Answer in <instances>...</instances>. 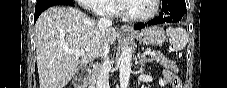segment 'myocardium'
<instances>
[{"label":"myocardium","mask_w":227,"mask_h":88,"mask_svg":"<svg viewBox=\"0 0 227 88\" xmlns=\"http://www.w3.org/2000/svg\"><path fill=\"white\" fill-rule=\"evenodd\" d=\"M127 1H131V0H118L117 1V10L118 13L123 16L126 19L132 20V21H136V22H146L150 19H152L158 12L159 9V0H152L153 1V10L151 13L147 14V15H143V16H138V15H132L129 14L125 11L124 9V3Z\"/></svg>","instance_id":"f54148a6"}]
</instances>
